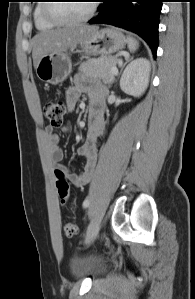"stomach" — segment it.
Returning <instances> with one entry per match:
<instances>
[{"label":"stomach","instance_id":"1","mask_svg":"<svg viewBox=\"0 0 195 299\" xmlns=\"http://www.w3.org/2000/svg\"><path fill=\"white\" fill-rule=\"evenodd\" d=\"M126 43L127 39L121 31L114 28H104L97 29L80 45L82 51L88 55L110 56L123 49ZM71 71L72 63L67 51L45 55L36 68L37 77L52 85L62 83Z\"/></svg>","mask_w":195,"mask_h":299}]
</instances>
